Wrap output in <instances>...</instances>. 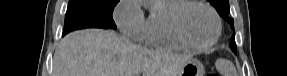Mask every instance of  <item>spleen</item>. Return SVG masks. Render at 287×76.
Returning a JSON list of instances; mask_svg holds the SVG:
<instances>
[{"label":"spleen","mask_w":287,"mask_h":76,"mask_svg":"<svg viewBox=\"0 0 287 76\" xmlns=\"http://www.w3.org/2000/svg\"><path fill=\"white\" fill-rule=\"evenodd\" d=\"M215 65L222 76H237L236 69L230 61L226 59H218Z\"/></svg>","instance_id":"3e777b00"}]
</instances>
